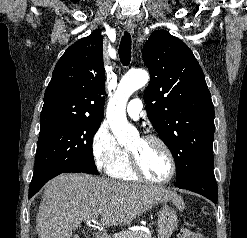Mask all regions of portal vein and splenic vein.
I'll list each match as a JSON object with an SVG mask.
<instances>
[{"instance_id": "18ae733b", "label": "portal vein and splenic vein", "mask_w": 247, "mask_h": 238, "mask_svg": "<svg viewBox=\"0 0 247 238\" xmlns=\"http://www.w3.org/2000/svg\"><path fill=\"white\" fill-rule=\"evenodd\" d=\"M91 221H94V219L92 218V219L87 220V224H89ZM100 238H103V236Z\"/></svg>"}]
</instances>
